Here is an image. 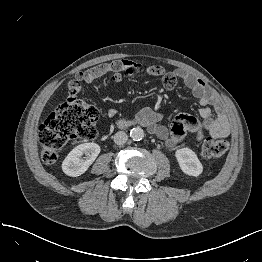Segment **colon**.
Returning <instances> with one entry per match:
<instances>
[{
	"mask_svg": "<svg viewBox=\"0 0 262 262\" xmlns=\"http://www.w3.org/2000/svg\"><path fill=\"white\" fill-rule=\"evenodd\" d=\"M115 81H122L134 73L142 71V67L132 63L121 67ZM90 81L87 73H79L67 84L68 96L43 120L38 129L41 145V158L47 164H53L59 152L73 138L88 141L96 136L95 123L99 112L96 107L79 98L82 82ZM201 154L206 158L222 157L228 150V143L222 139L205 138L200 145Z\"/></svg>",
	"mask_w": 262,
	"mask_h": 262,
	"instance_id": "1",
	"label": "colon"
}]
</instances>
